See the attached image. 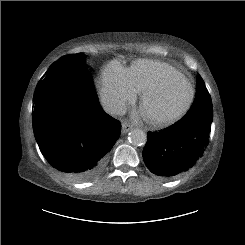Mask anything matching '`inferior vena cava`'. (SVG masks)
Instances as JSON below:
<instances>
[{
	"mask_svg": "<svg viewBox=\"0 0 245 245\" xmlns=\"http://www.w3.org/2000/svg\"><path fill=\"white\" fill-rule=\"evenodd\" d=\"M102 106L106 113L110 115H123L126 113V105L117 99H104Z\"/></svg>",
	"mask_w": 245,
	"mask_h": 245,
	"instance_id": "obj_1",
	"label": "inferior vena cava"
}]
</instances>
